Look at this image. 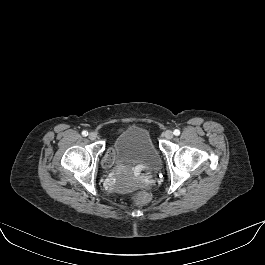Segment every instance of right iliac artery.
Listing matches in <instances>:
<instances>
[{"mask_svg":"<svg viewBox=\"0 0 265 265\" xmlns=\"http://www.w3.org/2000/svg\"><path fill=\"white\" fill-rule=\"evenodd\" d=\"M82 135L83 136H87L88 135V132L86 130L82 131Z\"/></svg>","mask_w":265,"mask_h":265,"instance_id":"1","label":"right iliac artery"}]
</instances>
